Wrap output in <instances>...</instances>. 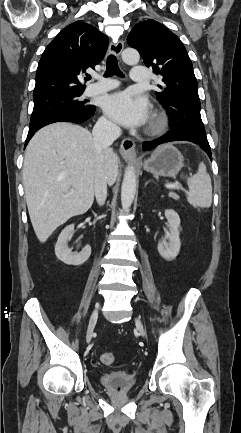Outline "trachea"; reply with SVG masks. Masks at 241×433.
I'll return each instance as SVG.
<instances>
[{
	"label": "trachea",
	"mask_w": 241,
	"mask_h": 433,
	"mask_svg": "<svg viewBox=\"0 0 241 433\" xmlns=\"http://www.w3.org/2000/svg\"><path fill=\"white\" fill-rule=\"evenodd\" d=\"M112 75H116L119 77L123 76L122 72L120 71V69L118 67L117 58L113 54H111L107 57L106 71H105L104 76L108 77V76H112Z\"/></svg>",
	"instance_id": "1"
}]
</instances>
